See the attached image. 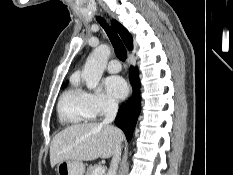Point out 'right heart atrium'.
<instances>
[{"label":"right heart atrium","instance_id":"d8ad5b80","mask_svg":"<svg viewBox=\"0 0 233 175\" xmlns=\"http://www.w3.org/2000/svg\"><path fill=\"white\" fill-rule=\"evenodd\" d=\"M86 94L95 116L109 114L117 108L116 100L101 90L86 92Z\"/></svg>","mask_w":233,"mask_h":175}]
</instances>
